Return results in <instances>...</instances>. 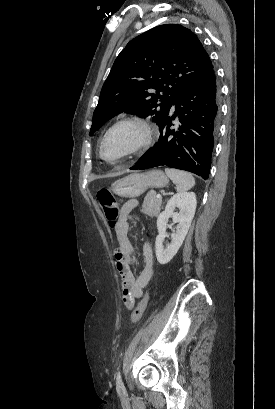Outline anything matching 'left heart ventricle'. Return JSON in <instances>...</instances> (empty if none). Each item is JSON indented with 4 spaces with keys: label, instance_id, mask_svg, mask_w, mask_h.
I'll use <instances>...</instances> for the list:
<instances>
[{
    "label": "left heart ventricle",
    "instance_id": "b2bd125f",
    "mask_svg": "<svg viewBox=\"0 0 275 409\" xmlns=\"http://www.w3.org/2000/svg\"><path fill=\"white\" fill-rule=\"evenodd\" d=\"M137 138L135 128L129 126L118 128L106 140L103 153L106 157H117L133 145Z\"/></svg>",
    "mask_w": 275,
    "mask_h": 409
}]
</instances>
